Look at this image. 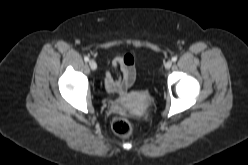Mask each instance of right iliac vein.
<instances>
[{"label":"right iliac vein","instance_id":"63e3f726","mask_svg":"<svg viewBox=\"0 0 248 165\" xmlns=\"http://www.w3.org/2000/svg\"><path fill=\"white\" fill-rule=\"evenodd\" d=\"M89 66L92 70H96V68H97V64L94 60L89 61Z\"/></svg>","mask_w":248,"mask_h":165}]
</instances>
